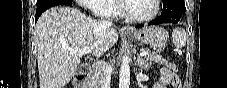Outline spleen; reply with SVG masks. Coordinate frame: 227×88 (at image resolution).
<instances>
[{"mask_svg":"<svg viewBox=\"0 0 227 88\" xmlns=\"http://www.w3.org/2000/svg\"><path fill=\"white\" fill-rule=\"evenodd\" d=\"M171 36H172V42L176 47V49H180L186 45L187 33L183 28L181 27L175 28L172 31Z\"/></svg>","mask_w":227,"mask_h":88,"instance_id":"3e777b00","label":"spleen"}]
</instances>
